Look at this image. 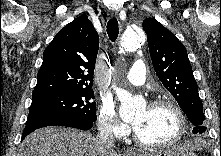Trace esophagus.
I'll list each match as a JSON object with an SVG mask.
<instances>
[{
    "instance_id": "esophagus-1",
    "label": "esophagus",
    "mask_w": 221,
    "mask_h": 156,
    "mask_svg": "<svg viewBox=\"0 0 221 156\" xmlns=\"http://www.w3.org/2000/svg\"><path fill=\"white\" fill-rule=\"evenodd\" d=\"M116 15H117V12H116V11L111 13V17H116ZM124 156H135V154H133V153H132L131 151H129V150H126V151L124 152Z\"/></svg>"
}]
</instances>
